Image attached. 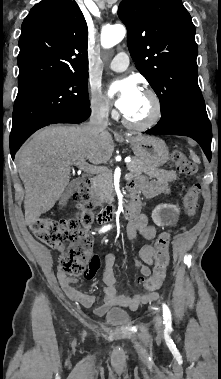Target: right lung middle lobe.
I'll return each mask as SVG.
<instances>
[{
  "label": "right lung middle lobe",
  "instance_id": "right-lung-middle-lobe-1",
  "mask_svg": "<svg viewBox=\"0 0 221 379\" xmlns=\"http://www.w3.org/2000/svg\"><path fill=\"white\" fill-rule=\"evenodd\" d=\"M10 142L90 107L88 73L65 74L18 84Z\"/></svg>",
  "mask_w": 221,
  "mask_h": 379
}]
</instances>
